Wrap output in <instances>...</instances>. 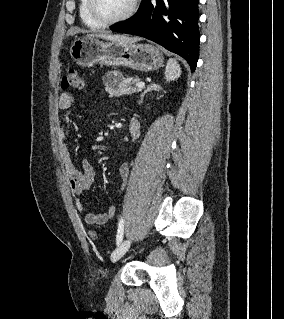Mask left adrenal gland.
Masks as SVG:
<instances>
[{"mask_svg":"<svg viewBox=\"0 0 284 319\" xmlns=\"http://www.w3.org/2000/svg\"><path fill=\"white\" fill-rule=\"evenodd\" d=\"M158 89H159V86L157 84H155V83L149 84L146 87V89L141 93L139 103H143L144 96L147 92L152 91V90H158Z\"/></svg>","mask_w":284,"mask_h":319,"instance_id":"a2214340","label":"left adrenal gland"}]
</instances>
